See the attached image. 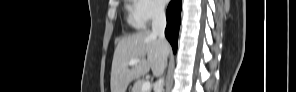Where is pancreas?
<instances>
[{"mask_svg":"<svg viewBox=\"0 0 296 92\" xmlns=\"http://www.w3.org/2000/svg\"><path fill=\"white\" fill-rule=\"evenodd\" d=\"M144 82V79L137 80L133 85L132 92H142L141 87ZM147 92H150V90H148Z\"/></svg>","mask_w":296,"mask_h":92,"instance_id":"cf45deb5","label":"pancreas"}]
</instances>
